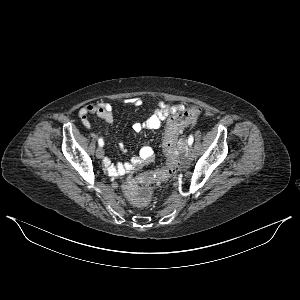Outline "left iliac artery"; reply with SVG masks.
Masks as SVG:
<instances>
[{"label":"left iliac artery","instance_id":"1","mask_svg":"<svg viewBox=\"0 0 300 300\" xmlns=\"http://www.w3.org/2000/svg\"><path fill=\"white\" fill-rule=\"evenodd\" d=\"M193 140H194V139H193V136L190 135L189 138H188V144H189V145H192Z\"/></svg>","mask_w":300,"mask_h":300}]
</instances>
